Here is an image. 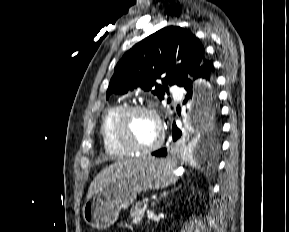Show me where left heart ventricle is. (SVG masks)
I'll return each instance as SVG.
<instances>
[{"label":"left heart ventricle","mask_w":289,"mask_h":232,"mask_svg":"<svg viewBox=\"0 0 289 232\" xmlns=\"http://www.w3.org/2000/svg\"><path fill=\"white\" fill-rule=\"evenodd\" d=\"M128 134L131 140L139 146H150L159 138L157 121L149 114L136 113L128 120Z\"/></svg>","instance_id":"obj_1"}]
</instances>
